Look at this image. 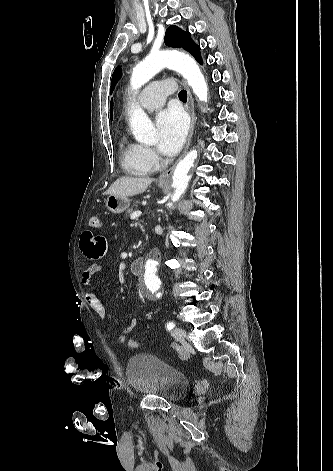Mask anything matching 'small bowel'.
<instances>
[{"label":"small bowel","mask_w":333,"mask_h":471,"mask_svg":"<svg viewBox=\"0 0 333 471\" xmlns=\"http://www.w3.org/2000/svg\"><path fill=\"white\" fill-rule=\"evenodd\" d=\"M106 242L103 237L95 236L91 231L87 230L81 237L80 247L83 254L92 262L88 265L82 276V284L86 287L93 285L95 277L102 274L104 269L95 260L100 258L105 251ZM87 302L95 311L98 318L105 321L107 318V311L101 300L92 292H88ZM139 325V320L136 317L131 318L129 324L123 329L122 334L117 337V342L126 344L128 341L127 335L132 333Z\"/></svg>","instance_id":"obj_1"}]
</instances>
